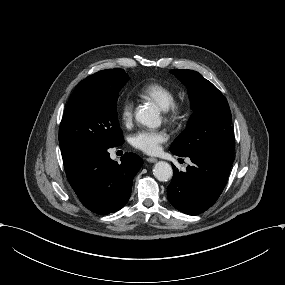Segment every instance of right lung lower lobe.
I'll return each mask as SVG.
<instances>
[{"mask_svg":"<svg viewBox=\"0 0 285 285\" xmlns=\"http://www.w3.org/2000/svg\"><path fill=\"white\" fill-rule=\"evenodd\" d=\"M108 149L89 148L62 155L67 179L81 203L101 215L114 213L127 203L133 178L143 164L134 153H125L118 164Z\"/></svg>","mask_w":285,"mask_h":285,"instance_id":"1","label":"right lung lower lobe"}]
</instances>
